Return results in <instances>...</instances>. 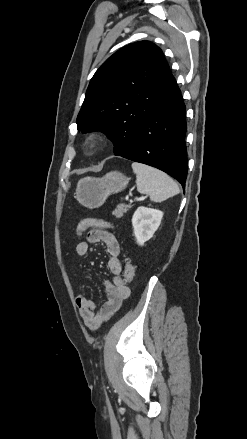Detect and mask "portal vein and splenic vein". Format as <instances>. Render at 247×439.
Listing matches in <instances>:
<instances>
[{
    "label": "portal vein and splenic vein",
    "instance_id": "18ae733b",
    "mask_svg": "<svg viewBox=\"0 0 247 439\" xmlns=\"http://www.w3.org/2000/svg\"><path fill=\"white\" fill-rule=\"evenodd\" d=\"M145 198H146V196H142V197L136 198V200L141 201V200H144ZM130 202L132 203L133 201L131 200Z\"/></svg>",
    "mask_w": 247,
    "mask_h": 439
}]
</instances>
